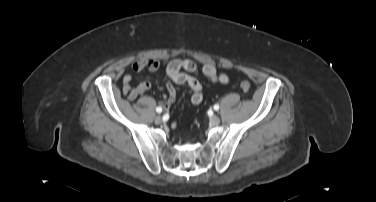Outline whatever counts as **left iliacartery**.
<instances>
[{
	"label": "left iliac artery",
	"mask_w": 376,
	"mask_h": 202,
	"mask_svg": "<svg viewBox=\"0 0 376 202\" xmlns=\"http://www.w3.org/2000/svg\"><path fill=\"white\" fill-rule=\"evenodd\" d=\"M214 109L217 111V110H219V105L218 104H215L214 105Z\"/></svg>",
	"instance_id": "1"
}]
</instances>
